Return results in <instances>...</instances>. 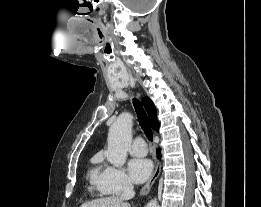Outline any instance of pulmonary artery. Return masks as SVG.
Here are the masks:
<instances>
[{"label": "pulmonary artery", "mask_w": 261, "mask_h": 207, "mask_svg": "<svg viewBox=\"0 0 261 207\" xmlns=\"http://www.w3.org/2000/svg\"><path fill=\"white\" fill-rule=\"evenodd\" d=\"M129 152L137 157L145 156L147 154V146L144 139L142 137H136L130 146Z\"/></svg>", "instance_id": "pulmonary-artery-1"}]
</instances>
